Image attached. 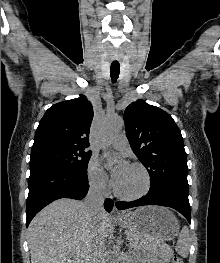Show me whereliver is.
<instances>
[{
	"instance_id": "6515ba94",
	"label": "liver",
	"mask_w": 220,
	"mask_h": 263,
	"mask_svg": "<svg viewBox=\"0 0 220 263\" xmlns=\"http://www.w3.org/2000/svg\"><path fill=\"white\" fill-rule=\"evenodd\" d=\"M112 228L107 212L92 218L84 202L56 200L42 209L28 227L31 263H90L96 240L105 239Z\"/></svg>"
}]
</instances>
